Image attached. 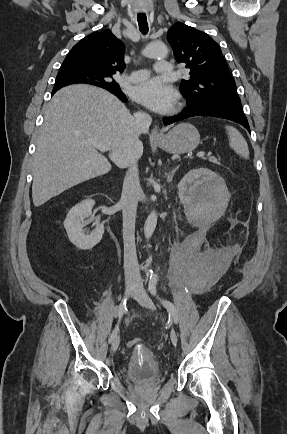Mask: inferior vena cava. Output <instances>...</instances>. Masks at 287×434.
I'll list each match as a JSON object with an SVG mask.
<instances>
[{
	"label": "inferior vena cava",
	"mask_w": 287,
	"mask_h": 434,
	"mask_svg": "<svg viewBox=\"0 0 287 434\" xmlns=\"http://www.w3.org/2000/svg\"><path fill=\"white\" fill-rule=\"evenodd\" d=\"M138 127V135L148 130L152 118L145 112L134 114ZM138 159L133 157L128 165L121 195L123 213V241H124V271L126 282H138L140 280L139 264L135 246V219L139 194L141 192Z\"/></svg>",
	"instance_id": "1"
}]
</instances>
